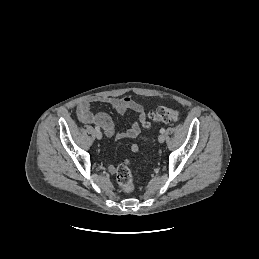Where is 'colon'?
Instances as JSON below:
<instances>
[{"label":"colon","mask_w":259,"mask_h":259,"mask_svg":"<svg viewBox=\"0 0 259 259\" xmlns=\"http://www.w3.org/2000/svg\"><path fill=\"white\" fill-rule=\"evenodd\" d=\"M179 119V113L177 110L160 107L156 111L149 114V120H146L143 125L146 128L151 127L153 123H174ZM116 180L118 185L125 191L131 192L134 189L133 173L129 162H123L115 169Z\"/></svg>","instance_id":"colon-1"}]
</instances>
